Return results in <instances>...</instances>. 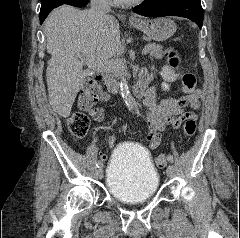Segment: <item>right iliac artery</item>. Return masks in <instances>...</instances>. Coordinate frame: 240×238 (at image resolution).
I'll list each match as a JSON object with an SVG mask.
<instances>
[{
  "label": "right iliac artery",
  "instance_id": "1",
  "mask_svg": "<svg viewBox=\"0 0 240 238\" xmlns=\"http://www.w3.org/2000/svg\"><path fill=\"white\" fill-rule=\"evenodd\" d=\"M96 166L99 168V167H101L102 166V162L101 161H98L97 163H96Z\"/></svg>",
  "mask_w": 240,
  "mask_h": 238
}]
</instances>
